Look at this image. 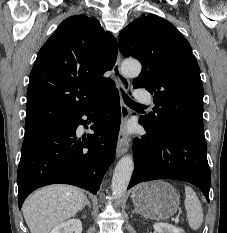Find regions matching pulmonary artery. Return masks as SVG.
Wrapping results in <instances>:
<instances>
[{
    "label": "pulmonary artery",
    "mask_w": 227,
    "mask_h": 233,
    "mask_svg": "<svg viewBox=\"0 0 227 233\" xmlns=\"http://www.w3.org/2000/svg\"><path fill=\"white\" fill-rule=\"evenodd\" d=\"M137 99L145 104H150L151 103V98L150 96H148L147 94L143 93V92H137Z\"/></svg>",
    "instance_id": "e3ab8cb5"
}]
</instances>
